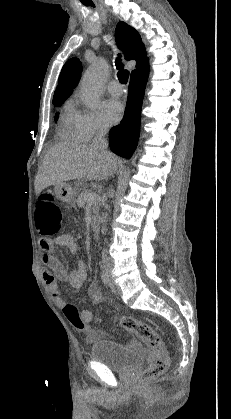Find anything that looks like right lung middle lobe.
Listing matches in <instances>:
<instances>
[{"mask_svg":"<svg viewBox=\"0 0 231 419\" xmlns=\"http://www.w3.org/2000/svg\"><path fill=\"white\" fill-rule=\"evenodd\" d=\"M64 100L65 99L54 100L53 104L54 106H60L64 102ZM58 116H59V113L55 115V121L58 119Z\"/></svg>","mask_w":231,"mask_h":419,"instance_id":"dd1d6c3e","label":"right lung middle lobe"}]
</instances>
